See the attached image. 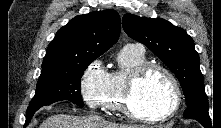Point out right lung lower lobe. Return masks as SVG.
<instances>
[{"mask_svg":"<svg viewBox=\"0 0 221 128\" xmlns=\"http://www.w3.org/2000/svg\"><path fill=\"white\" fill-rule=\"evenodd\" d=\"M36 111H37V110H36ZM36 111L30 112V113L27 114L25 126H26L27 124H29V122H30V120H31V118H32V116H33V114H34Z\"/></svg>","mask_w":221,"mask_h":128,"instance_id":"right-lung-lower-lobe-1","label":"right lung lower lobe"}]
</instances>
